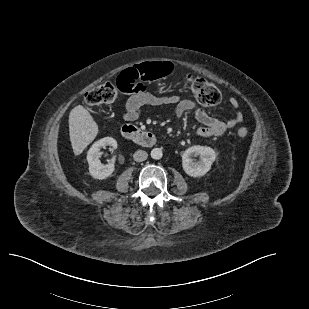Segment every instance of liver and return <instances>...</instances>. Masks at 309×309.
<instances>
[{
    "label": "liver",
    "instance_id": "obj_1",
    "mask_svg": "<svg viewBox=\"0 0 309 309\" xmlns=\"http://www.w3.org/2000/svg\"><path fill=\"white\" fill-rule=\"evenodd\" d=\"M98 134V125L83 106L74 107L69 115V135L76 156L95 139Z\"/></svg>",
    "mask_w": 309,
    "mask_h": 309
}]
</instances>
